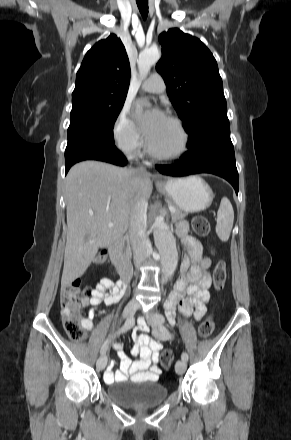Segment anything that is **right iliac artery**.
Returning a JSON list of instances; mask_svg holds the SVG:
<instances>
[{"instance_id":"obj_1","label":"right iliac artery","mask_w":291,"mask_h":440,"mask_svg":"<svg viewBox=\"0 0 291 440\" xmlns=\"http://www.w3.org/2000/svg\"><path fill=\"white\" fill-rule=\"evenodd\" d=\"M134 325V318L133 316H130L127 318V320L125 321L124 325L121 327V329L117 332V335L123 332H126L127 330H129L131 327H133ZM108 345H109V339H107L104 344L101 347V351L100 353L103 355L106 353L107 349H108Z\"/></svg>"}]
</instances>
